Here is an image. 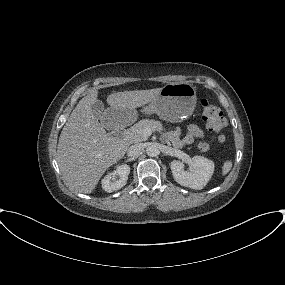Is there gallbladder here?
I'll list each match as a JSON object with an SVG mask.
<instances>
[{"mask_svg": "<svg viewBox=\"0 0 285 285\" xmlns=\"http://www.w3.org/2000/svg\"><path fill=\"white\" fill-rule=\"evenodd\" d=\"M91 109L92 112L94 114V116L97 119L102 120L104 117V113H105V108H104V104L102 101L100 100H96L92 105H91Z\"/></svg>", "mask_w": 285, "mask_h": 285, "instance_id": "obj_1", "label": "gallbladder"}]
</instances>
